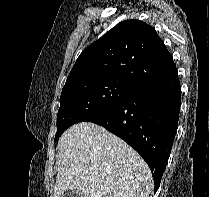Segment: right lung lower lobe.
Listing matches in <instances>:
<instances>
[{
	"label": "right lung lower lobe",
	"instance_id": "1",
	"mask_svg": "<svg viewBox=\"0 0 209 197\" xmlns=\"http://www.w3.org/2000/svg\"><path fill=\"white\" fill-rule=\"evenodd\" d=\"M180 106L181 87L174 67L85 122L106 128L134 148L149 165L156 192L171 152Z\"/></svg>",
	"mask_w": 209,
	"mask_h": 197
}]
</instances>
